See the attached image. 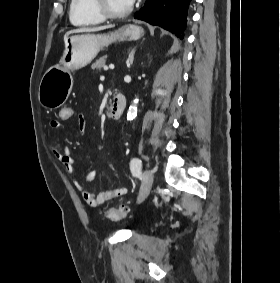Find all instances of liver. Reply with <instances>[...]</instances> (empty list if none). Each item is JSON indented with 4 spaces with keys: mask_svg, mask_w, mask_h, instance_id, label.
I'll use <instances>...</instances> for the list:
<instances>
[{
    "mask_svg": "<svg viewBox=\"0 0 280 283\" xmlns=\"http://www.w3.org/2000/svg\"><path fill=\"white\" fill-rule=\"evenodd\" d=\"M112 27H114V25H105V26H99V27H82V28L74 29V30L68 31L64 35V42L66 44L69 35L73 33L97 32V31L109 29Z\"/></svg>",
    "mask_w": 280,
    "mask_h": 283,
    "instance_id": "liver-1",
    "label": "liver"
}]
</instances>
